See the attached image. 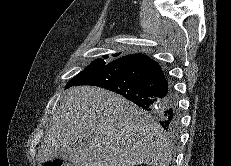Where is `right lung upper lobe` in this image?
Returning <instances> with one entry per match:
<instances>
[{"label": "right lung upper lobe", "instance_id": "obj_1", "mask_svg": "<svg viewBox=\"0 0 231 166\" xmlns=\"http://www.w3.org/2000/svg\"><path fill=\"white\" fill-rule=\"evenodd\" d=\"M119 54H116L115 56H118ZM132 55H139V54H132Z\"/></svg>", "mask_w": 231, "mask_h": 166}]
</instances>
